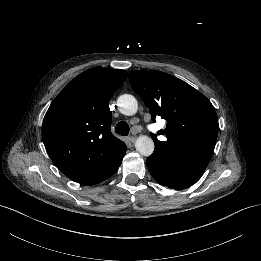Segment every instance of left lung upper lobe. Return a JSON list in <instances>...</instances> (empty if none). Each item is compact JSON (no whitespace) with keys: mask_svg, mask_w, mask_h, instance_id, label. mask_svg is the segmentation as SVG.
Here are the masks:
<instances>
[{"mask_svg":"<svg viewBox=\"0 0 261 261\" xmlns=\"http://www.w3.org/2000/svg\"><path fill=\"white\" fill-rule=\"evenodd\" d=\"M129 80L149 108L152 120L156 116L167 120L163 130L166 141L151 135L153 153L206 167L218 134L217 114L211 102L186 82L161 71L132 70Z\"/></svg>","mask_w":261,"mask_h":261,"instance_id":"obj_1","label":"left lung upper lobe"}]
</instances>
